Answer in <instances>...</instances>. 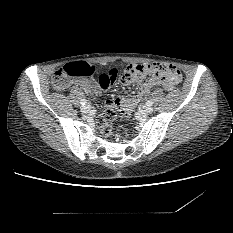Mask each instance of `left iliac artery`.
I'll return each instance as SVG.
<instances>
[{
    "instance_id": "left-iliac-artery-1",
    "label": "left iliac artery",
    "mask_w": 233,
    "mask_h": 233,
    "mask_svg": "<svg viewBox=\"0 0 233 233\" xmlns=\"http://www.w3.org/2000/svg\"><path fill=\"white\" fill-rule=\"evenodd\" d=\"M146 104H147L148 106H151L153 103H152L151 100H148V101L146 102Z\"/></svg>"
}]
</instances>
